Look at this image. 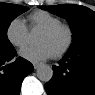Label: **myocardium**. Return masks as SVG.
Instances as JSON below:
<instances>
[{
    "label": "myocardium",
    "mask_w": 95,
    "mask_h": 95,
    "mask_svg": "<svg viewBox=\"0 0 95 95\" xmlns=\"http://www.w3.org/2000/svg\"><path fill=\"white\" fill-rule=\"evenodd\" d=\"M61 30H64L67 33V41L61 50L55 52L52 55L54 58L63 57L71 49V47L74 43V31L70 25L63 24V23H60L58 25H55V26H52V27H49V28L42 30V32L47 35H54Z\"/></svg>",
    "instance_id": "myocardium-1"
}]
</instances>
